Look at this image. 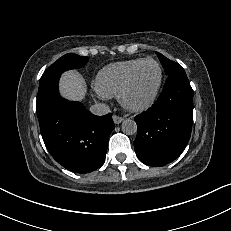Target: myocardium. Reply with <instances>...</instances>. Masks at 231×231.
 I'll return each instance as SVG.
<instances>
[{
	"label": "myocardium",
	"mask_w": 231,
	"mask_h": 231,
	"mask_svg": "<svg viewBox=\"0 0 231 231\" xmlns=\"http://www.w3.org/2000/svg\"><path fill=\"white\" fill-rule=\"evenodd\" d=\"M148 62H152L158 67V70H159L158 82L156 84L154 91L152 92V94L150 95V97L146 101H144L140 104H133V103L129 102V100H128V93L131 89V86H132V83H133V80H134V77H135L137 71L139 70V68L142 65H144L145 63H148ZM162 83H163V69H162L161 64L153 58L143 59L136 66H134V68L130 71L125 83L123 84V86H122V88L118 94V100H119L120 104L125 109H127L129 111H133V112L144 111V110L150 108L154 104V102L156 101V99L159 95Z\"/></svg>",
	"instance_id": "1"
}]
</instances>
